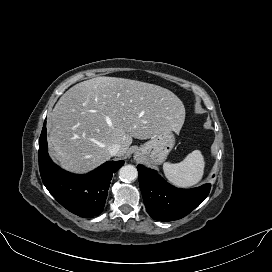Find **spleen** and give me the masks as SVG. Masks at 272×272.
Listing matches in <instances>:
<instances>
[{
    "label": "spleen",
    "instance_id": "obj_1",
    "mask_svg": "<svg viewBox=\"0 0 272 272\" xmlns=\"http://www.w3.org/2000/svg\"><path fill=\"white\" fill-rule=\"evenodd\" d=\"M205 168L201 151L194 150L179 163L166 162L163 165L165 177L175 186L188 188L196 185L203 177Z\"/></svg>",
    "mask_w": 272,
    "mask_h": 272
}]
</instances>
